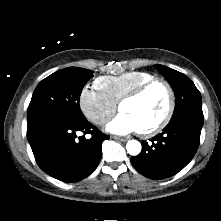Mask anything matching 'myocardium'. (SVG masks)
Here are the masks:
<instances>
[{"label":"myocardium","instance_id":"1","mask_svg":"<svg viewBox=\"0 0 221 221\" xmlns=\"http://www.w3.org/2000/svg\"><path fill=\"white\" fill-rule=\"evenodd\" d=\"M155 85H161L165 89L168 98L167 107L163 117L156 124L146 129L139 130L140 134L143 136H151L159 133L171 121L175 110V93L171 84L163 78H153L124 95L118 104V108L120 110L124 103L140 98Z\"/></svg>","mask_w":221,"mask_h":221}]
</instances>
